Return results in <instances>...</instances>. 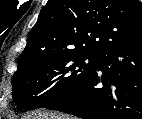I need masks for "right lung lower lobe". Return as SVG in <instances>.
<instances>
[{"mask_svg": "<svg viewBox=\"0 0 142 119\" xmlns=\"http://www.w3.org/2000/svg\"><path fill=\"white\" fill-rule=\"evenodd\" d=\"M47 109L83 119H142V40L101 54L95 71Z\"/></svg>", "mask_w": 142, "mask_h": 119, "instance_id": "right-lung-lower-lobe-1", "label": "right lung lower lobe"}]
</instances>
